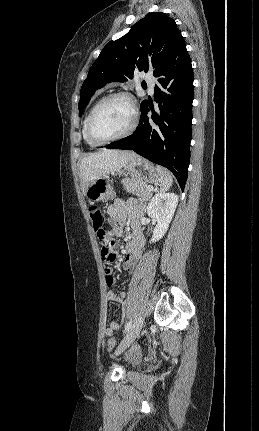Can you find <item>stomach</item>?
Segmentation results:
<instances>
[{
	"label": "stomach",
	"mask_w": 259,
	"mask_h": 431,
	"mask_svg": "<svg viewBox=\"0 0 259 431\" xmlns=\"http://www.w3.org/2000/svg\"><path fill=\"white\" fill-rule=\"evenodd\" d=\"M119 173L131 175L141 179L146 184H155L160 181L156 167L148 160L137 156L126 163ZM85 196L89 201H107L115 198L111 184L104 178L93 181L87 188Z\"/></svg>",
	"instance_id": "1"
}]
</instances>
